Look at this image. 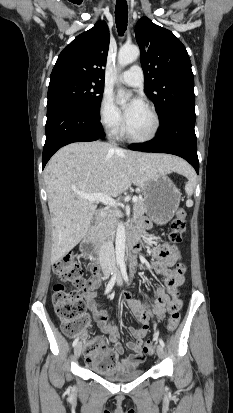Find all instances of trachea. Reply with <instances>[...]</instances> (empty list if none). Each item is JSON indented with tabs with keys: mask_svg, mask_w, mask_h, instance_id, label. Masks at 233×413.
<instances>
[{
	"mask_svg": "<svg viewBox=\"0 0 233 413\" xmlns=\"http://www.w3.org/2000/svg\"><path fill=\"white\" fill-rule=\"evenodd\" d=\"M115 20L120 35H123L127 28L128 6L126 0H117L115 6Z\"/></svg>",
	"mask_w": 233,
	"mask_h": 413,
	"instance_id": "3493384b",
	"label": "trachea"
}]
</instances>
